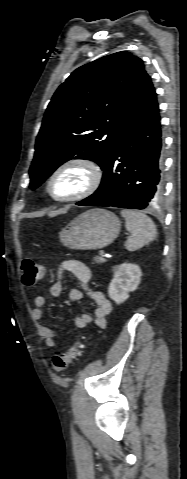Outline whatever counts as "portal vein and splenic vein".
I'll return each mask as SVG.
<instances>
[{"label": "portal vein and splenic vein", "mask_w": 187, "mask_h": 479, "mask_svg": "<svg viewBox=\"0 0 187 479\" xmlns=\"http://www.w3.org/2000/svg\"><path fill=\"white\" fill-rule=\"evenodd\" d=\"M99 254H100V256H101L102 258L105 257V255H106V253L104 252V250H101Z\"/></svg>", "instance_id": "18ae733b"}]
</instances>
